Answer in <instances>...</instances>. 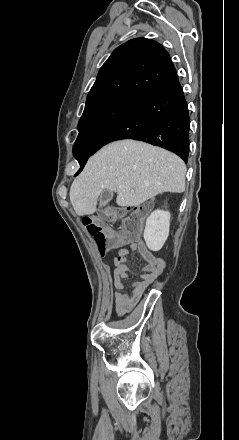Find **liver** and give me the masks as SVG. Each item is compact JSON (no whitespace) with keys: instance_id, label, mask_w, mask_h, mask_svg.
Masks as SVG:
<instances>
[{"instance_id":"6515ba94","label":"liver","mask_w":239,"mask_h":440,"mask_svg":"<svg viewBox=\"0 0 239 440\" xmlns=\"http://www.w3.org/2000/svg\"><path fill=\"white\" fill-rule=\"evenodd\" d=\"M181 158L145 142L120 140L89 158L69 192L78 216L96 212L102 190L117 192V206H139L162 192H185Z\"/></svg>"}]
</instances>
